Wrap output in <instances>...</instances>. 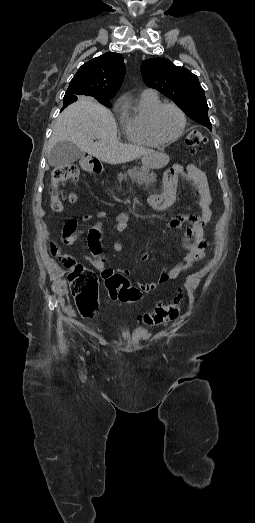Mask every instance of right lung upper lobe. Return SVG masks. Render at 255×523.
<instances>
[{
  "instance_id": "cb5924a9",
  "label": "right lung upper lobe",
  "mask_w": 255,
  "mask_h": 523,
  "mask_svg": "<svg viewBox=\"0 0 255 523\" xmlns=\"http://www.w3.org/2000/svg\"><path fill=\"white\" fill-rule=\"evenodd\" d=\"M124 76L125 64L118 53H106L90 60L79 68L70 81L62 110L79 96L83 100L112 99L121 87Z\"/></svg>"
}]
</instances>
